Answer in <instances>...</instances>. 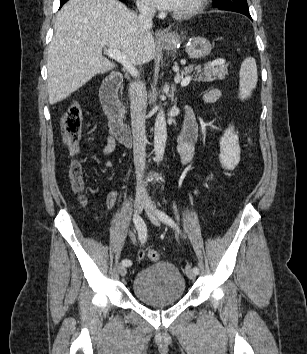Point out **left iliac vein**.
<instances>
[{
  "label": "left iliac vein",
  "instance_id": "4c4485c4",
  "mask_svg": "<svg viewBox=\"0 0 307 354\" xmlns=\"http://www.w3.org/2000/svg\"><path fill=\"white\" fill-rule=\"evenodd\" d=\"M144 208H145V211H146L148 217L152 221V223L155 224L156 226H159L160 221H159V217L157 215V211L154 208V206L150 200L145 201ZM186 275L191 280L195 279V277H196V274L193 272V269H191L190 266L186 267Z\"/></svg>",
  "mask_w": 307,
  "mask_h": 354
}]
</instances>
